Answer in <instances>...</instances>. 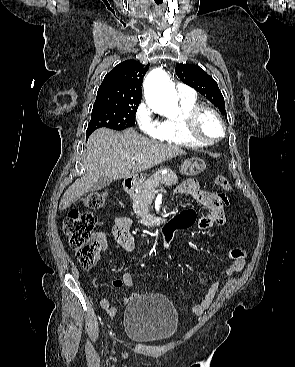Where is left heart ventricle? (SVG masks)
I'll use <instances>...</instances> for the list:
<instances>
[{"label":"left heart ventricle","instance_id":"b2bd125f","mask_svg":"<svg viewBox=\"0 0 295 367\" xmlns=\"http://www.w3.org/2000/svg\"><path fill=\"white\" fill-rule=\"evenodd\" d=\"M199 130L202 136L207 139H215L221 134V126L218 120L209 112L202 115L199 123Z\"/></svg>","mask_w":295,"mask_h":367}]
</instances>
